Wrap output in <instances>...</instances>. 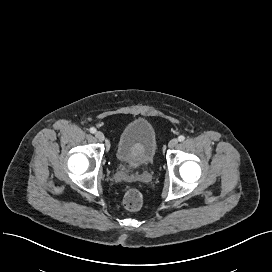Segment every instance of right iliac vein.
<instances>
[{"label":"right iliac vein","instance_id":"63e3f726","mask_svg":"<svg viewBox=\"0 0 272 272\" xmlns=\"http://www.w3.org/2000/svg\"><path fill=\"white\" fill-rule=\"evenodd\" d=\"M95 137H96L97 140L100 141V142L104 141V139H105L104 134H103L102 132H100V131H97V132L95 133Z\"/></svg>","mask_w":272,"mask_h":272}]
</instances>
